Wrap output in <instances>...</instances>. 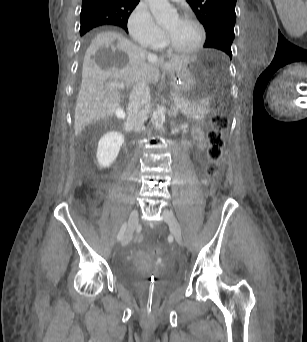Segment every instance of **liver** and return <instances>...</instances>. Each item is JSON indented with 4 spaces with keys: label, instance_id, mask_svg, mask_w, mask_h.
<instances>
[{
    "label": "liver",
    "instance_id": "1",
    "mask_svg": "<svg viewBox=\"0 0 307 342\" xmlns=\"http://www.w3.org/2000/svg\"><path fill=\"white\" fill-rule=\"evenodd\" d=\"M149 56L152 54L139 48L138 44H132L118 32H101L95 36L84 56L74 116L75 136H79L91 122L115 114L121 92L104 86L109 78L114 82L122 80L127 88L141 82L151 84L158 82L160 70L172 74L188 66L190 60H195L189 56H171L169 62H164L163 58L149 60Z\"/></svg>",
    "mask_w": 307,
    "mask_h": 342
}]
</instances>
